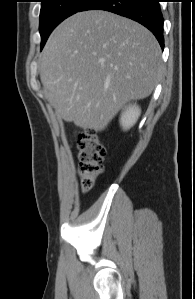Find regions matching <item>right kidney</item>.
Masks as SVG:
<instances>
[{"label": "right kidney", "mask_w": 195, "mask_h": 299, "mask_svg": "<svg viewBox=\"0 0 195 299\" xmlns=\"http://www.w3.org/2000/svg\"><path fill=\"white\" fill-rule=\"evenodd\" d=\"M141 110L136 105H130L121 115L120 124L123 129L131 128L140 116Z\"/></svg>", "instance_id": "right-kidney-1"}]
</instances>
